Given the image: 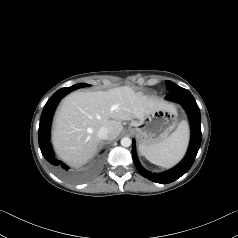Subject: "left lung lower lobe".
<instances>
[{"mask_svg": "<svg viewBox=\"0 0 238 238\" xmlns=\"http://www.w3.org/2000/svg\"><path fill=\"white\" fill-rule=\"evenodd\" d=\"M166 99L181 104L185 108L189 117L191 140L184 159L177 166L167 172L151 173L141 166L136 154L135 141H133L132 145V157L138 172L145 178L161 184L171 183L184 175L191 168L201 144L200 110L192 94L188 90L179 87L170 91L166 96Z\"/></svg>", "mask_w": 238, "mask_h": 238, "instance_id": "left-lung-lower-lobe-1", "label": "left lung lower lobe"}]
</instances>
